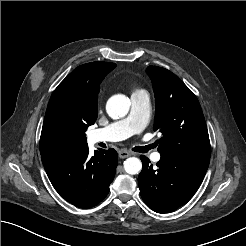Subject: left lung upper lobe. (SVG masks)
I'll return each instance as SVG.
<instances>
[{"mask_svg":"<svg viewBox=\"0 0 246 246\" xmlns=\"http://www.w3.org/2000/svg\"><path fill=\"white\" fill-rule=\"evenodd\" d=\"M156 101L154 131L163 137L157 140L162 153L211 155L207 126L194 93L171 71L147 67Z\"/></svg>","mask_w":246,"mask_h":246,"instance_id":"5c2ea615","label":"left lung upper lobe"}]
</instances>
